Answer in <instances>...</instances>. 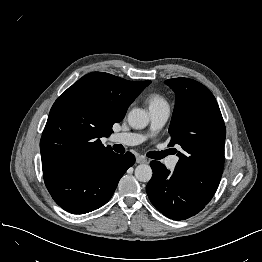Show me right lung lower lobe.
Here are the masks:
<instances>
[{"label": "right lung lower lobe", "instance_id": "1", "mask_svg": "<svg viewBox=\"0 0 262 262\" xmlns=\"http://www.w3.org/2000/svg\"><path fill=\"white\" fill-rule=\"evenodd\" d=\"M134 162L130 152L125 155L109 152L96 159L43 165V177L61 208L84 214L110 200L120 178Z\"/></svg>", "mask_w": 262, "mask_h": 262}]
</instances>
